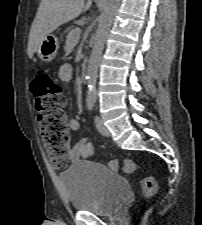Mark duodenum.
<instances>
[{
	"label": "duodenum",
	"instance_id": "410a0bca",
	"mask_svg": "<svg viewBox=\"0 0 202 225\" xmlns=\"http://www.w3.org/2000/svg\"><path fill=\"white\" fill-rule=\"evenodd\" d=\"M88 67H89L88 60H84L81 64V72H80V76L83 81H85L88 76Z\"/></svg>",
	"mask_w": 202,
	"mask_h": 225
}]
</instances>
